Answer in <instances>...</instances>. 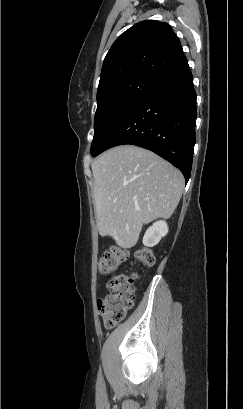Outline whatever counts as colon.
<instances>
[{"label":"colon","instance_id":"1","mask_svg":"<svg viewBox=\"0 0 243 409\" xmlns=\"http://www.w3.org/2000/svg\"><path fill=\"white\" fill-rule=\"evenodd\" d=\"M127 251L111 247L103 253L98 262L99 272L103 275L114 272L127 258ZM134 259L143 266L154 265L152 250L147 247L135 251ZM138 275L134 272L114 276L107 284L110 294L98 300V310L106 329H113L132 307L135 293V282Z\"/></svg>","mask_w":243,"mask_h":409}]
</instances>
